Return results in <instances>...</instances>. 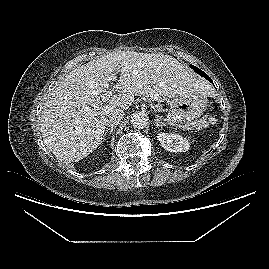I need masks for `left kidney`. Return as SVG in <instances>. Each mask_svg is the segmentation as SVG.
I'll return each instance as SVG.
<instances>
[{"label": "left kidney", "instance_id": "obj_1", "mask_svg": "<svg viewBox=\"0 0 269 269\" xmlns=\"http://www.w3.org/2000/svg\"><path fill=\"white\" fill-rule=\"evenodd\" d=\"M157 138L161 146L169 152H186L190 147L188 140L178 134L161 132Z\"/></svg>", "mask_w": 269, "mask_h": 269}]
</instances>
